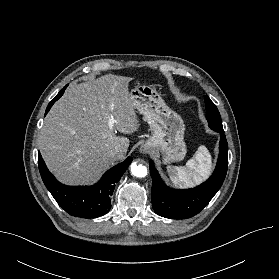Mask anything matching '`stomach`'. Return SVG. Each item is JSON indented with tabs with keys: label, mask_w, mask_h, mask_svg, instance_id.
I'll list each match as a JSON object with an SVG mask.
<instances>
[{
	"label": "stomach",
	"mask_w": 279,
	"mask_h": 279,
	"mask_svg": "<svg viewBox=\"0 0 279 279\" xmlns=\"http://www.w3.org/2000/svg\"><path fill=\"white\" fill-rule=\"evenodd\" d=\"M135 108L144 115L152 136L143 148L159 150L165 163L178 162L186 155L185 125L179 114L170 109L152 87L138 85L130 91Z\"/></svg>",
	"instance_id": "0dacf381"
}]
</instances>
